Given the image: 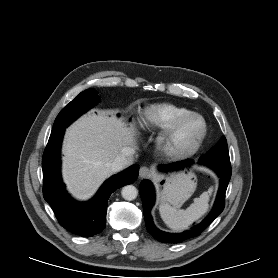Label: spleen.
Segmentation results:
<instances>
[{
  "instance_id": "3e777b00",
  "label": "spleen",
  "mask_w": 278,
  "mask_h": 278,
  "mask_svg": "<svg viewBox=\"0 0 278 278\" xmlns=\"http://www.w3.org/2000/svg\"><path fill=\"white\" fill-rule=\"evenodd\" d=\"M211 193L212 188H210L208 192H203L200 197L195 198L194 202L185 210H177L167 203H162L159 207L161 218L172 230H185L207 212Z\"/></svg>"
}]
</instances>
